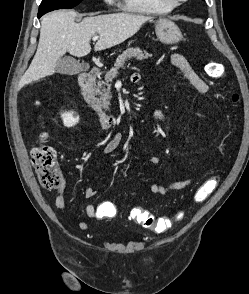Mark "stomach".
<instances>
[{"instance_id": "1", "label": "stomach", "mask_w": 249, "mask_h": 294, "mask_svg": "<svg viewBox=\"0 0 249 294\" xmlns=\"http://www.w3.org/2000/svg\"><path fill=\"white\" fill-rule=\"evenodd\" d=\"M155 32L159 41L165 45H173L182 40L180 29L169 19H158L155 24Z\"/></svg>"}]
</instances>
